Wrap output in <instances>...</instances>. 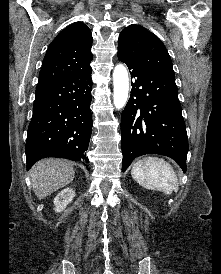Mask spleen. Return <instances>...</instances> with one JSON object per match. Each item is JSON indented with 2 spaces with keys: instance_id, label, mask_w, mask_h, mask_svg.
<instances>
[{
  "instance_id": "spleen-1",
  "label": "spleen",
  "mask_w": 221,
  "mask_h": 274,
  "mask_svg": "<svg viewBox=\"0 0 221 274\" xmlns=\"http://www.w3.org/2000/svg\"><path fill=\"white\" fill-rule=\"evenodd\" d=\"M132 178L142 187L165 194L178 191V179L169 163L156 157H146L133 165Z\"/></svg>"
}]
</instances>
